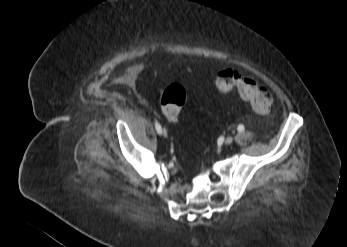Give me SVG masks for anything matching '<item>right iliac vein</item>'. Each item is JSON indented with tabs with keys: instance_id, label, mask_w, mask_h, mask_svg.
<instances>
[{
	"instance_id": "right-iliac-vein-1",
	"label": "right iliac vein",
	"mask_w": 347,
	"mask_h": 247,
	"mask_svg": "<svg viewBox=\"0 0 347 247\" xmlns=\"http://www.w3.org/2000/svg\"><path fill=\"white\" fill-rule=\"evenodd\" d=\"M162 133L165 137L167 136V130L165 128L163 129Z\"/></svg>"
}]
</instances>
